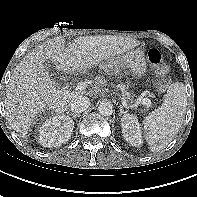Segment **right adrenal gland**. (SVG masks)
Masks as SVG:
<instances>
[{"mask_svg":"<svg viewBox=\"0 0 197 197\" xmlns=\"http://www.w3.org/2000/svg\"><path fill=\"white\" fill-rule=\"evenodd\" d=\"M69 112H67L68 114ZM70 116H72L74 119H76V117H79L80 115L74 114V113H69Z\"/></svg>","mask_w":197,"mask_h":197,"instance_id":"2a0ac1e0","label":"right adrenal gland"}]
</instances>
